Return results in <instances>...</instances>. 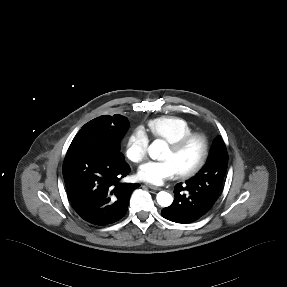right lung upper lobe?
<instances>
[{
	"label": "right lung upper lobe",
	"instance_id": "cb5924a9",
	"mask_svg": "<svg viewBox=\"0 0 287 287\" xmlns=\"http://www.w3.org/2000/svg\"><path fill=\"white\" fill-rule=\"evenodd\" d=\"M121 115H114L113 117L109 115L100 116L98 117L99 120H101L104 124V132L109 133L110 129L112 128V125L115 123V121L120 117Z\"/></svg>",
	"mask_w": 287,
	"mask_h": 287
}]
</instances>
